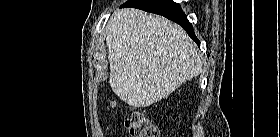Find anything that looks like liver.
<instances>
[{
	"instance_id": "6515ba94",
	"label": "liver",
	"mask_w": 280,
	"mask_h": 137,
	"mask_svg": "<svg viewBox=\"0 0 280 137\" xmlns=\"http://www.w3.org/2000/svg\"><path fill=\"white\" fill-rule=\"evenodd\" d=\"M113 92L132 107H148L202 71L196 44L177 24L138 9H120L107 24Z\"/></svg>"
}]
</instances>
